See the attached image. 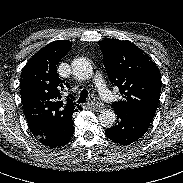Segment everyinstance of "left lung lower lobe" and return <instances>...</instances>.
<instances>
[{"mask_svg":"<svg viewBox=\"0 0 183 183\" xmlns=\"http://www.w3.org/2000/svg\"><path fill=\"white\" fill-rule=\"evenodd\" d=\"M117 123L105 130L106 136L115 143L128 145L139 140L148 130L150 122L134 115L116 112Z\"/></svg>","mask_w":183,"mask_h":183,"instance_id":"1","label":"left lung lower lobe"}]
</instances>
